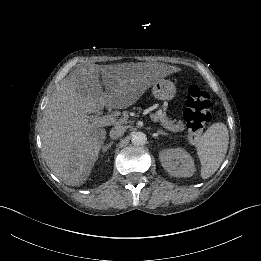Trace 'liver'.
Instances as JSON below:
<instances>
[{
    "instance_id": "1",
    "label": "liver",
    "mask_w": 261,
    "mask_h": 261,
    "mask_svg": "<svg viewBox=\"0 0 261 261\" xmlns=\"http://www.w3.org/2000/svg\"><path fill=\"white\" fill-rule=\"evenodd\" d=\"M166 74L159 65L142 64L84 65L72 71L52 93L40 121L42 155L52 173L66 185L83 184L107 134L98 117L90 123L88 114L133 105Z\"/></svg>"
}]
</instances>
